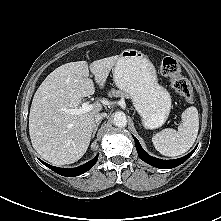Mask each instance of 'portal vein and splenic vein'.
Segmentation results:
<instances>
[{
    "label": "portal vein and splenic vein",
    "mask_w": 221,
    "mask_h": 221,
    "mask_svg": "<svg viewBox=\"0 0 221 221\" xmlns=\"http://www.w3.org/2000/svg\"><path fill=\"white\" fill-rule=\"evenodd\" d=\"M94 108V104L84 102L81 107L74 109H66L65 111L71 115H81L83 113L89 112Z\"/></svg>",
    "instance_id": "1"
}]
</instances>
